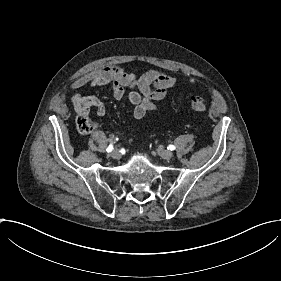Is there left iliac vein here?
I'll list each match as a JSON object with an SVG mask.
<instances>
[{
	"mask_svg": "<svg viewBox=\"0 0 281 281\" xmlns=\"http://www.w3.org/2000/svg\"><path fill=\"white\" fill-rule=\"evenodd\" d=\"M156 152L160 153V155L164 156V158H166V159H169L172 156V153L169 150H161L160 148H157Z\"/></svg>",
	"mask_w": 281,
	"mask_h": 281,
	"instance_id": "left-iliac-vein-1",
	"label": "left iliac vein"
}]
</instances>
